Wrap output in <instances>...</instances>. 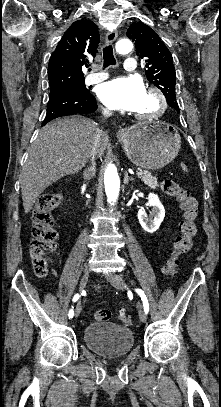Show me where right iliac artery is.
Returning <instances> with one entry per match:
<instances>
[{"label": "right iliac artery", "instance_id": "82829eb1", "mask_svg": "<svg viewBox=\"0 0 221 407\" xmlns=\"http://www.w3.org/2000/svg\"><path fill=\"white\" fill-rule=\"evenodd\" d=\"M81 295H82V293H81ZM79 297H80V295H79V294H76V295L73 297V302H76V301L79 299ZM68 316H69V319H70V318H73V316H74V311H73V309H70V310H69Z\"/></svg>", "mask_w": 221, "mask_h": 407}]
</instances>
